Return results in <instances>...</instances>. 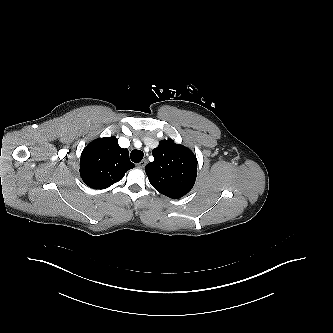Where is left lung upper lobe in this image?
<instances>
[{
	"instance_id": "left-lung-upper-lobe-1",
	"label": "left lung upper lobe",
	"mask_w": 333,
	"mask_h": 333,
	"mask_svg": "<svg viewBox=\"0 0 333 333\" xmlns=\"http://www.w3.org/2000/svg\"><path fill=\"white\" fill-rule=\"evenodd\" d=\"M154 161L145 167L151 185L161 194L178 199L194 186L197 158L193 152L173 140H162L153 149Z\"/></svg>"
}]
</instances>
